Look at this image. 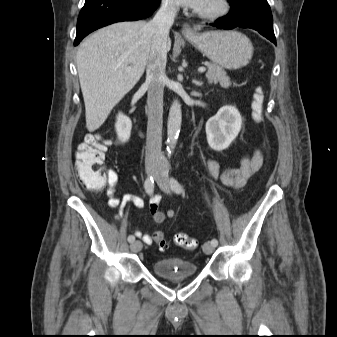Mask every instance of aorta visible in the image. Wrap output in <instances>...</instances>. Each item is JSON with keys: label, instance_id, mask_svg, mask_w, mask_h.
<instances>
[{"label": "aorta", "instance_id": "aorta-1", "mask_svg": "<svg viewBox=\"0 0 337 337\" xmlns=\"http://www.w3.org/2000/svg\"><path fill=\"white\" fill-rule=\"evenodd\" d=\"M182 122L181 105L178 100H174L168 116L167 124V151L171 154L176 146Z\"/></svg>", "mask_w": 337, "mask_h": 337}]
</instances>
